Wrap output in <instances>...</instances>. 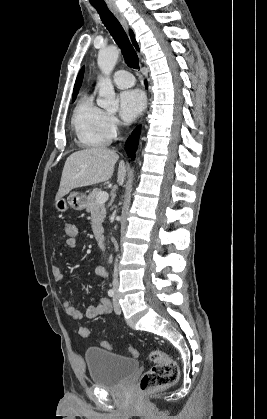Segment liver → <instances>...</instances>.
I'll list each match as a JSON object with an SVG mask.
<instances>
[{
    "instance_id": "obj_1",
    "label": "liver",
    "mask_w": 267,
    "mask_h": 419,
    "mask_svg": "<svg viewBox=\"0 0 267 419\" xmlns=\"http://www.w3.org/2000/svg\"><path fill=\"white\" fill-rule=\"evenodd\" d=\"M118 159V154L106 147H92L72 153L65 162L56 199L62 198L74 188L109 180ZM125 175V163L121 160L117 177L119 185L124 183Z\"/></svg>"
}]
</instances>
